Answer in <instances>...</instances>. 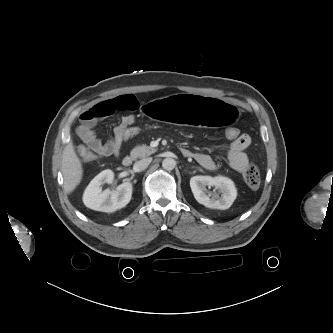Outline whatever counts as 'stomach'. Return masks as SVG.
Returning a JSON list of instances; mask_svg holds the SVG:
<instances>
[{"mask_svg":"<svg viewBox=\"0 0 333 333\" xmlns=\"http://www.w3.org/2000/svg\"><path fill=\"white\" fill-rule=\"evenodd\" d=\"M142 114L149 121L180 127H204L220 130L238 125L244 111L224 99L197 94L194 96L169 94L147 99L142 105Z\"/></svg>","mask_w":333,"mask_h":333,"instance_id":"0dacf381","label":"stomach"}]
</instances>
